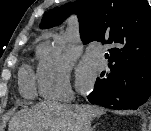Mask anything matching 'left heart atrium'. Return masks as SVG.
Here are the masks:
<instances>
[{
  "mask_svg": "<svg viewBox=\"0 0 151 131\" xmlns=\"http://www.w3.org/2000/svg\"><path fill=\"white\" fill-rule=\"evenodd\" d=\"M93 81V76L85 67H80L77 74V82L82 90H87Z\"/></svg>",
  "mask_w": 151,
  "mask_h": 131,
  "instance_id": "obj_1",
  "label": "left heart atrium"
}]
</instances>
